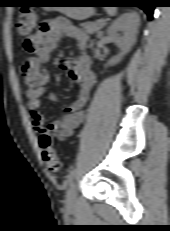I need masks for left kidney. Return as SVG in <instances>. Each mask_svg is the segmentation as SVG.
Returning <instances> with one entry per match:
<instances>
[{
    "mask_svg": "<svg viewBox=\"0 0 170 231\" xmlns=\"http://www.w3.org/2000/svg\"><path fill=\"white\" fill-rule=\"evenodd\" d=\"M140 18L136 13H125L114 21L108 29L110 39L120 48L121 52L112 57L106 66L115 65L127 54L136 41ZM122 32V34H120Z\"/></svg>",
    "mask_w": 170,
    "mask_h": 231,
    "instance_id": "5707ae66",
    "label": "left kidney"
}]
</instances>
